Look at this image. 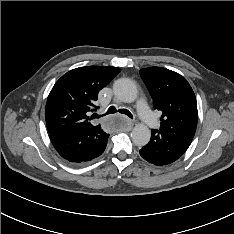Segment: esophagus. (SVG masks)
I'll use <instances>...</instances> for the list:
<instances>
[{
	"instance_id": "1",
	"label": "esophagus",
	"mask_w": 234,
	"mask_h": 234,
	"mask_svg": "<svg viewBox=\"0 0 234 234\" xmlns=\"http://www.w3.org/2000/svg\"><path fill=\"white\" fill-rule=\"evenodd\" d=\"M132 127H133V122L128 120V122H127V130H131Z\"/></svg>"
}]
</instances>
